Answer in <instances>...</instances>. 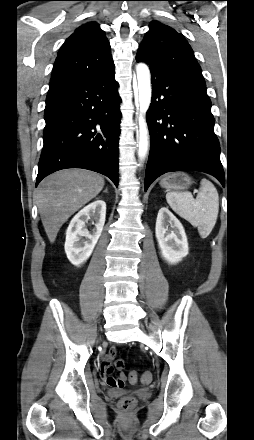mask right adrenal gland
<instances>
[{
    "label": "right adrenal gland",
    "instance_id": "obj_1",
    "mask_svg": "<svg viewBox=\"0 0 254 440\" xmlns=\"http://www.w3.org/2000/svg\"><path fill=\"white\" fill-rule=\"evenodd\" d=\"M104 193H108V189L107 188L104 190Z\"/></svg>",
    "mask_w": 254,
    "mask_h": 440
}]
</instances>
